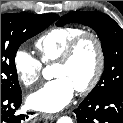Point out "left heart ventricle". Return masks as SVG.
<instances>
[{"label": "left heart ventricle", "instance_id": "1", "mask_svg": "<svg viewBox=\"0 0 123 123\" xmlns=\"http://www.w3.org/2000/svg\"><path fill=\"white\" fill-rule=\"evenodd\" d=\"M96 63V47L91 40L87 39L80 45L68 64L54 66V77H66L76 89L89 81L95 71Z\"/></svg>", "mask_w": 123, "mask_h": 123}]
</instances>
